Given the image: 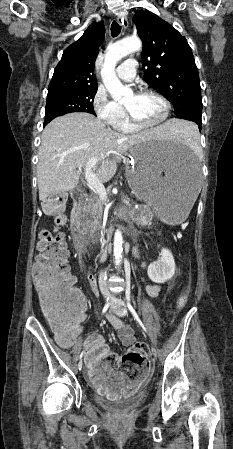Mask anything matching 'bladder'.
I'll return each mask as SVG.
<instances>
[{"instance_id":"31cf9c89","label":"bladder","mask_w":233,"mask_h":449,"mask_svg":"<svg viewBox=\"0 0 233 449\" xmlns=\"http://www.w3.org/2000/svg\"><path fill=\"white\" fill-rule=\"evenodd\" d=\"M144 394L140 393L132 397L122 398L119 400H107L99 395H96V401L104 408L113 411H127L135 408L144 400Z\"/></svg>"}]
</instances>
